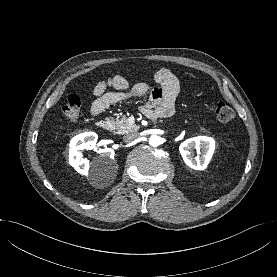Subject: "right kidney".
Listing matches in <instances>:
<instances>
[{
    "instance_id": "obj_1",
    "label": "right kidney",
    "mask_w": 277,
    "mask_h": 277,
    "mask_svg": "<svg viewBox=\"0 0 277 277\" xmlns=\"http://www.w3.org/2000/svg\"><path fill=\"white\" fill-rule=\"evenodd\" d=\"M97 134L93 132L82 133L75 136L70 142L69 163L75 170L83 175H88L89 170H100L98 163H89L83 158V151L96 148ZM99 162L115 164L114 150L104 148L99 150Z\"/></svg>"
}]
</instances>
